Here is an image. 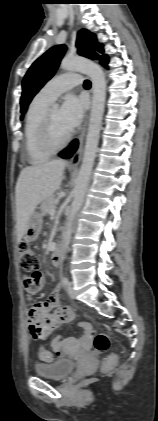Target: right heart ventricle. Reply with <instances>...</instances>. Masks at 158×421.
Returning a JSON list of instances; mask_svg holds the SVG:
<instances>
[{"instance_id":"obj_1","label":"right heart ventricle","mask_w":158,"mask_h":421,"mask_svg":"<svg viewBox=\"0 0 158 421\" xmlns=\"http://www.w3.org/2000/svg\"><path fill=\"white\" fill-rule=\"evenodd\" d=\"M50 102L36 95L26 113L24 125L25 151L31 164L45 162L53 154L46 150L40 140V128Z\"/></svg>"}]
</instances>
